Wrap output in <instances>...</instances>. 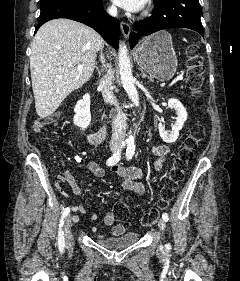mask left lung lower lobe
<instances>
[{
	"instance_id": "obj_1",
	"label": "left lung lower lobe",
	"mask_w": 240,
	"mask_h": 281,
	"mask_svg": "<svg viewBox=\"0 0 240 281\" xmlns=\"http://www.w3.org/2000/svg\"><path fill=\"white\" fill-rule=\"evenodd\" d=\"M189 28L203 36L199 0H155L153 14L133 25L130 34L132 49L142 36L166 28Z\"/></svg>"
}]
</instances>
